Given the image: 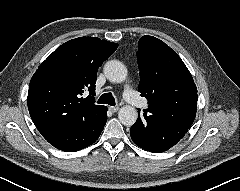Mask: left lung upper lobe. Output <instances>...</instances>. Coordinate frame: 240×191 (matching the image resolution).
<instances>
[{
    "label": "left lung upper lobe",
    "mask_w": 240,
    "mask_h": 191,
    "mask_svg": "<svg viewBox=\"0 0 240 191\" xmlns=\"http://www.w3.org/2000/svg\"><path fill=\"white\" fill-rule=\"evenodd\" d=\"M139 92L149 102L153 119L188 131L197 109V89L184 62L173 49L153 36L138 42Z\"/></svg>",
    "instance_id": "obj_1"
}]
</instances>
